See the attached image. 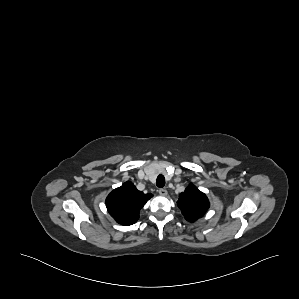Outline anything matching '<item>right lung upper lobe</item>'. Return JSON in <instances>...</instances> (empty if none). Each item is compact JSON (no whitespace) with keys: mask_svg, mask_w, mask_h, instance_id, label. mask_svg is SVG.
<instances>
[{"mask_svg":"<svg viewBox=\"0 0 299 299\" xmlns=\"http://www.w3.org/2000/svg\"><path fill=\"white\" fill-rule=\"evenodd\" d=\"M152 196L137 190L133 183L127 181L108 195L106 205L116 222L128 226L137 221L140 209Z\"/></svg>","mask_w":299,"mask_h":299,"instance_id":"cb5924a9","label":"right lung upper lobe"}]
</instances>
